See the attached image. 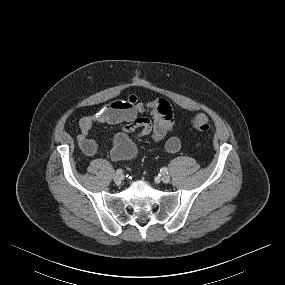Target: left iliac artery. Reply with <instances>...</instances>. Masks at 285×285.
<instances>
[{"mask_svg":"<svg viewBox=\"0 0 285 285\" xmlns=\"http://www.w3.org/2000/svg\"><path fill=\"white\" fill-rule=\"evenodd\" d=\"M161 172H162V173H168V168H167V167H163V168L161 169Z\"/></svg>","mask_w":285,"mask_h":285,"instance_id":"left-iliac-artery-1","label":"left iliac artery"}]
</instances>
